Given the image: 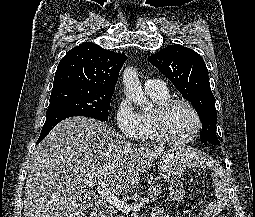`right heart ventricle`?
Returning <instances> with one entry per match:
<instances>
[{"mask_svg":"<svg viewBox=\"0 0 255 217\" xmlns=\"http://www.w3.org/2000/svg\"><path fill=\"white\" fill-rule=\"evenodd\" d=\"M150 96L155 106L157 107L164 101L170 99V94L167 89L161 91H146ZM153 111H144L140 113L142 133L141 138L146 140H156L154 130H153V122H152V114Z\"/></svg>","mask_w":255,"mask_h":217,"instance_id":"1","label":"right heart ventricle"}]
</instances>
